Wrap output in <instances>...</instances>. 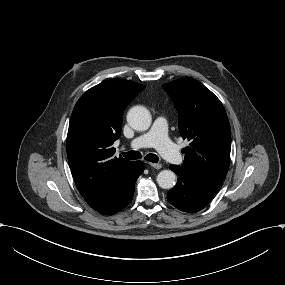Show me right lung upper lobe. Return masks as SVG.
I'll list each match as a JSON object with an SVG mask.
<instances>
[{"mask_svg": "<svg viewBox=\"0 0 285 285\" xmlns=\"http://www.w3.org/2000/svg\"><path fill=\"white\" fill-rule=\"evenodd\" d=\"M144 85L111 79L86 91L71 115L66 140L67 157L76 186L92 207L103 204L133 163L113 158L112 147L122 130L124 108Z\"/></svg>", "mask_w": 285, "mask_h": 285, "instance_id": "right-lung-upper-lobe-1", "label": "right lung upper lobe"}]
</instances>
